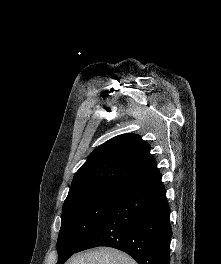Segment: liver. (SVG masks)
<instances>
[{
  "label": "liver",
  "mask_w": 221,
  "mask_h": 264,
  "mask_svg": "<svg viewBox=\"0 0 221 264\" xmlns=\"http://www.w3.org/2000/svg\"><path fill=\"white\" fill-rule=\"evenodd\" d=\"M66 264H137L129 255L112 249L98 248L72 257Z\"/></svg>",
  "instance_id": "obj_1"
}]
</instances>
